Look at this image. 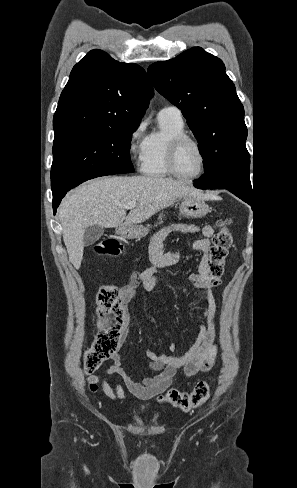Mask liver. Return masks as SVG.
<instances>
[{"label":"liver","mask_w":297,"mask_h":488,"mask_svg":"<svg viewBox=\"0 0 297 488\" xmlns=\"http://www.w3.org/2000/svg\"><path fill=\"white\" fill-rule=\"evenodd\" d=\"M185 196L207 197L178 180L163 177L112 176L83 184L69 192L58 209L69 261L76 269L80 268L84 251L83 236L89 226H133ZM130 202L137 205L126 215L124 205Z\"/></svg>","instance_id":"obj_1"}]
</instances>
